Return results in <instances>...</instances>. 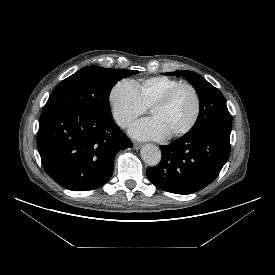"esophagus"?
<instances>
[{
  "label": "esophagus",
  "mask_w": 275,
  "mask_h": 275,
  "mask_svg": "<svg viewBox=\"0 0 275 275\" xmlns=\"http://www.w3.org/2000/svg\"><path fill=\"white\" fill-rule=\"evenodd\" d=\"M133 146H134V149H135V150H138V149L141 148L142 145H141L140 143L134 142V143H133Z\"/></svg>",
  "instance_id": "1"
}]
</instances>
